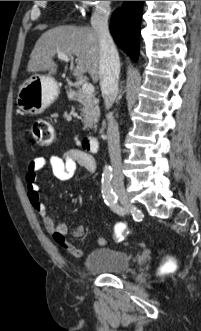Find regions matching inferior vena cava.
I'll return each instance as SVG.
<instances>
[{"label": "inferior vena cava", "instance_id": "inferior-vena-cava-1", "mask_svg": "<svg viewBox=\"0 0 201 331\" xmlns=\"http://www.w3.org/2000/svg\"><path fill=\"white\" fill-rule=\"evenodd\" d=\"M110 10L105 7H99L93 13L91 25L98 34L100 44V63L99 76L102 97L105 108L108 110L116 100L118 94V81L120 73V60L117 49L108 29V18ZM108 121L107 136L108 150L113 175H117L120 180L123 179L122 161L120 150V136L118 124L115 122L113 114H106Z\"/></svg>", "mask_w": 201, "mask_h": 331}]
</instances>
